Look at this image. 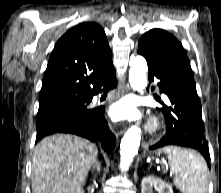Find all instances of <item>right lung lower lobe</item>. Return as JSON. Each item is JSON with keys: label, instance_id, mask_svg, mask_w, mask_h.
I'll return each instance as SVG.
<instances>
[{"label": "right lung lower lobe", "instance_id": "right-lung-lower-lobe-1", "mask_svg": "<svg viewBox=\"0 0 221 193\" xmlns=\"http://www.w3.org/2000/svg\"><path fill=\"white\" fill-rule=\"evenodd\" d=\"M116 84L115 70H113L97 85L95 92L89 98L90 101L97 93H100L103 90L113 89L116 87ZM104 111V108L93 109L90 117L86 120L73 122L51 130L37 132L36 142L43 137L54 133H71L85 137L93 142L100 141L104 150L111 154L116 145V137L108 128V124L104 119Z\"/></svg>", "mask_w": 221, "mask_h": 193}]
</instances>
